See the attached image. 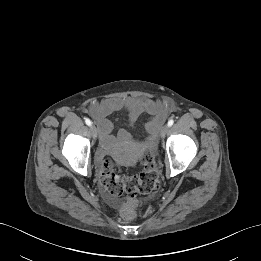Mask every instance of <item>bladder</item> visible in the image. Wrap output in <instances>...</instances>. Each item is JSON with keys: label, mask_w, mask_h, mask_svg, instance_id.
Returning <instances> with one entry per match:
<instances>
[{"label": "bladder", "mask_w": 261, "mask_h": 261, "mask_svg": "<svg viewBox=\"0 0 261 261\" xmlns=\"http://www.w3.org/2000/svg\"><path fill=\"white\" fill-rule=\"evenodd\" d=\"M127 140H129L127 136H119L113 139L110 143L111 148L116 152L115 158L117 159V161L123 164H127L130 162V158L125 156V151L121 149L122 144L125 143ZM150 145V141L137 144L138 148L143 150L147 149ZM137 157L138 155L135 154L134 159H136Z\"/></svg>", "instance_id": "obj_1"}]
</instances>
